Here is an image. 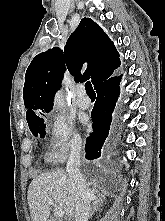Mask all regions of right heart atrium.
I'll list each match as a JSON object with an SVG mask.
<instances>
[{
	"label": "right heart atrium",
	"instance_id": "d8ad5b80",
	"mask_svg": "<svg viewBox=\"0 0 165 221\" xmlns=\"http://www.w3.org/2000/svg\"><path fill=\"white\" fill-rule=\"evenodd\" d=\"M48 133L47 157L52 162L61 163L82 148L83 141L75 124L63 114L51 117Z\"/></svg>",
	"mask_w": 165,
	"mask_h": 221
}]
</instances>
